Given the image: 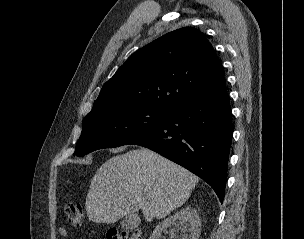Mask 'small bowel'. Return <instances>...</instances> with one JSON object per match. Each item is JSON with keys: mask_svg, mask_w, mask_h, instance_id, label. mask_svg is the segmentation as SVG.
Segmentation results:
<instances>
[{"mask_svg": "<svg viewBox=\"0 0 304 239\" xmlns=\"http://www.w3.org/2000/svg\"><path fill=\"white\" fill-rule=\"evenodd\" d=\"M58 232H59L60 236L63 237V238L68 237V231L65 227H60Z\"/></svg>", "mask_w": 304, "mask_h": 239, "instance_id": "obj_1", "label": "small bowel"}]
</instances>
